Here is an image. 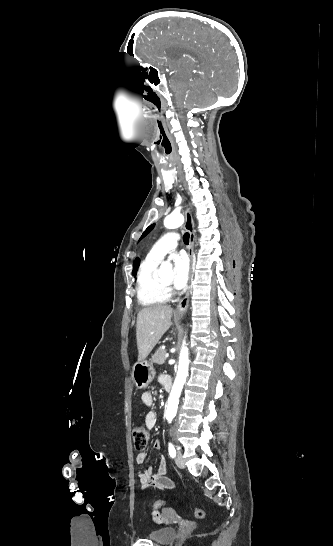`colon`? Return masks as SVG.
<instances>
[{
  "label": "colon",
  "mask_w": 333,
  "mask_h": 546,
  "mask_svg": "<svg viewBox=\"0 0 333 546\" xmlns=\"http://www.w3.org/2000/svg\"><path fill=\"white\" fill-rule=\"evenodd\" d=\"M132 438L135 449L143 450L147 446L149 440L147 429L143 425H135L132 431ZM163 505H165V502L159 500L150 505L149 508L151 510H157ZM193 514L198 519H203L205 517V512L202 509H194Z\"/></svg>",
  "instance_id": "obj_1"
}]
</instances>
